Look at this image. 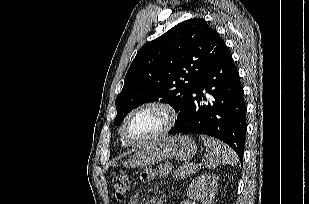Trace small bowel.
<instances>
[{"mask_svg": "<svg viewBox=\"0 0 309 204\" xmlns=\"http://www.w3.org/2000/svg\"><path fill=\"white\" fill-rule=\"evenodd\" d=\"M169 170V166L168 165H162L160 168L158 169H151V168H147L144 171H142L141 173V180L145 183L150 182L154 176L156 174H163L166 173ZM130 204H138V197L134 196L131 200H130Z\"/></svg>", "mask_w": 309, "mask_h": 204, "instance_id": "obj_1", "label": "small bowel"}]
</instances>
